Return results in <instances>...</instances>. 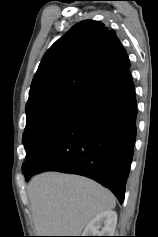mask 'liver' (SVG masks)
<instances>
[{"instance_id": "liver-1", "label": "liver", "mask_w": 158, "mask_h": 237, "mask_svg": "<svg viewBox=\"0 0 158 237\" xmlns=\"http://www.w3.org/2000/svg\"><path fill=\"white\" fill-rule=\"evenodd\" d=\"M37 236H79L97 215L114 209V195L88 178L45 172L27 186Z\"/></svg>"}]
</instances>
